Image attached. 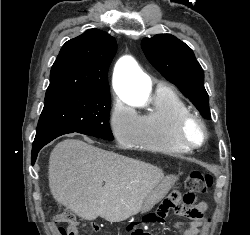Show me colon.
I'll return each mask as SVG.
<instances>
[{"mask_svg": "<svg viewBox=\"0 0 250 235\" xmlns=\"http://www.w3.org/2000/svg\"><path fill=\"white\" fill-rule=\"evenodd\" d=\"M212 184V177L209 173L203 170L192 171L185 179V193L183 195V202L186 208H192L195 205L197 195L206 192ZM179 207L172 204V209H178ZM160 210V209H159ZM153 214L152 220L159 221V211ZM199 214L197 212H191L188 217L196 218ZM165 218V217H164ZM163 218V219H164ZM162 219V220H163ZM57 222L66 224V227H60L62 235H79V223L75 217L69 212H63L57 216ZM139 235H150L149 233L140 232Z\"/></svg>", "mask_w": 250, "mask_h": 235, "instance_id": "colon-1", "label": "colon"}]
</instances>
